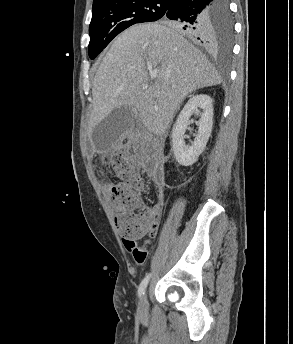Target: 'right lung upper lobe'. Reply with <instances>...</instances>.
Returning a JSON list of instances; mask_svg holds the SVG:
<instances>
[{
	"label": "right lung upper lobe",
	"mask_w": 293,
	"mask_h": 344,
	"mask_svg": "<svg viewBox=\"0 0 293 344\" xmlns=\"http://www.w3.org/2000/svg\"><path fill=\"white\" fill-rule=\"evenodd\" d=\"M105 1H113V0H93V7L97 5L100 2H105Z\"/></svg>",
	"instance_id": "1"
}]
</instances>
